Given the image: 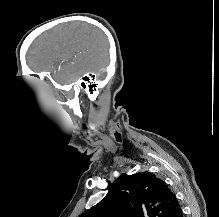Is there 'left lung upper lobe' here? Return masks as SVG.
I'll return each mask as SVG.
<instances>
[{
	"label": "left lung upper lobe",
	"instance_id": "obj_1",
	"mask_svg": "<svg viewBox=\"0 0 219 217\" xmlns=\"http://www.w3.org/2000/svg\"><path fill=\"white\" fill-rule=\"evenodd\" d=\"M179 209L175 194L163 180L153 173L139 172L122 174L109 183L108 194L79 217H175Z\"/></svg>",
	"mask_w": 219,
	"mask_h": 217
}]
</instances>
